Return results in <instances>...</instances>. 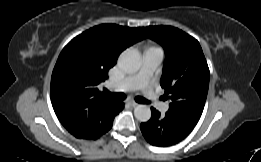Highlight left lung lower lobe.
Masks as SVG:
<instances>
[{
    "mask_svg": "<svg viewBox=\"0 0 261 162\" xmlns=\"http://www.w3.org/2000/svg\"><path fill=\"white\" fill-rule=\"evenodd\" d=\"M151 111V119L142 123L140 129L145 139L154 146L174 145L186 138L195 127V124L182 116L168 112L161 116L153 107Z\"/></svg>",
    "mask_w": 261,
    "mask_h": 162,
    "instance_id": "1",
    "label": "left lung lower lobe"
}]
</instances>
